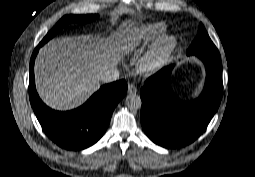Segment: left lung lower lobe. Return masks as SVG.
I'll return each instance as SVG.
<instances>
[{
  "label": "left lung lower lobe",
  "mask_w": 255,
  "mask_h": 177,
  "mask_svg": "<svg viewBox=\"0 0 255 177\" xmlns=\"http://www.w3.org/2000/svg\"><path fill=\"white\" fill-rule=\"evenodd\" d=\"M206 67L207 78L202 95L190 103L179 101L171 90L173 66L148 78L140 91L141 123L147 136L166 148L193 142L205 130L216 113L222 97V65L219 53L197 54Z\"/></svg>",
  "instance_id": "1"
}]
</instances>
